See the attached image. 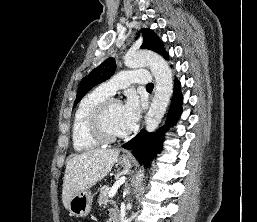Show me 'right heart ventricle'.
<instances>
[{"instance_id": "right-heart-ventricle-1", "label": "right heart ventricle", "mask_w": 257, "mask_h": 222, "mask_svg": "<svg viewBox=\"0 0 257 222\" xmlns=\"http://www.w3.org/2000/svg\"><path fill=\"white\" fill-rule=\"evenodd\" d=\"M109 95L101 89H95L88 93L80 101L72 122V143L76 151H89L100 146L89 131V118L92 111Z\"/></svg>"}]
</instances>
